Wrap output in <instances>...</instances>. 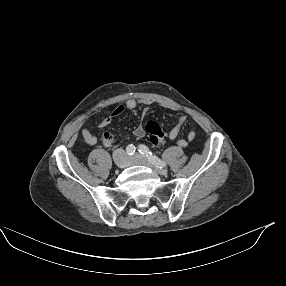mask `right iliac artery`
<instances>
[{"label": "right iliac artery", "instance_id": "82829eb1", "mask_svg": "<svg viewBox=\"0 0 286 286\" xmlns=\"http://www.w3.org/2000/svg\"><path fill=\"white\" fill-rule=\"evenodd\" d=\"M135 146L134 145H132V144H130V145H128L127 146V148H126V153L128 154V155H133L134 153H135Z\"/></svg>", "mask_w": 286, "mask_h": 286}]
</instances>
